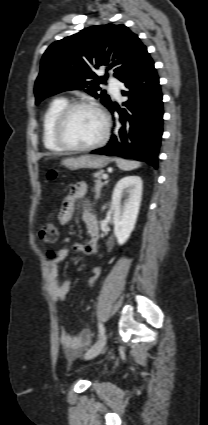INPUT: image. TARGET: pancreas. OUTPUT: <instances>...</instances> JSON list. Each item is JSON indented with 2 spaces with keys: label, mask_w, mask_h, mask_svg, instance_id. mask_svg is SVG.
I'll list each match as a JSON object with an SVG mask.
<instances>
[{
  "label": "pancreas",
  "mask_w": 208,
  "mask_h": 425,
  "mask_svg": "<svg viewBox=\"0 0 208 425\" xmlns=\"http://www.w3.org/2000/svg\"><path fill=\"white\" fill-rule=\"evenodd\" d=\"M108 183V181L103 182L101 180V174L97 176V179L95 180V186H94V192H95V199H98L101 195V190L103 186H105Z\"/></svg>",
  "instance_id": "obj_1"
}]
</instances>
